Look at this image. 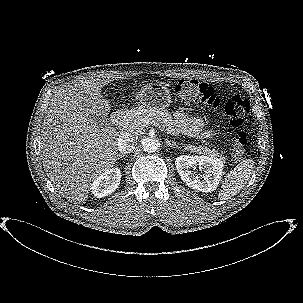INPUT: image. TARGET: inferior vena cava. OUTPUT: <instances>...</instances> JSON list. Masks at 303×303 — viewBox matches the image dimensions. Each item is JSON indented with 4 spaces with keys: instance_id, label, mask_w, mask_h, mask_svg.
<instances>
[{
    "instance_id": "1",
    "label": "inferior vena cava",
    "mask_w": 303,
    "mask_h": 303,
    "mask_svg": "<svg viewBox=\"0 0 303 303\" xmlns=\"http://www.w3.org/2000/svg\"><path fill=\"white\" fill-rule=\"evenodd\" d=\"M134 138L130 134H124L118 138L117 148L122 154L131 152L134 149Z\"/></svg>"
}]
</instances>
